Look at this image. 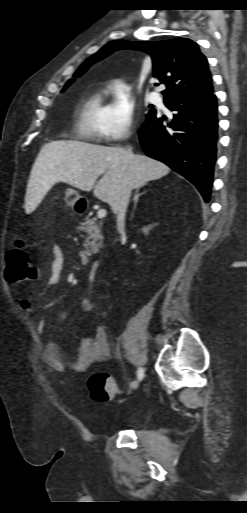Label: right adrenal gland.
Here are the masks:
<instances>
[{
    "label": "right adrenal gland",
    "mask_w": 247,
    "mask_h": 513,
    "mask_svg": "<svg viewBox=\"0 0 247 513\" xmlns=\"http://www.w3.org/2000/svg\"><path fill=\"white\" fill-rule=\"evenodd\" d=\"M144 193H145V192H144ZM144 193H139V190H136V191H135L134 199H133V200H134V210H135V208H136V206H137V203H138V199H139V197H140L142 194H144Z\"/></svg>",
    "instance_id": "1"
}]
</instances>
